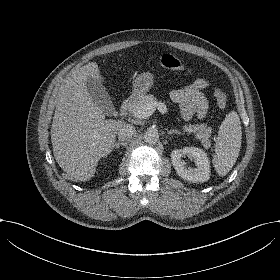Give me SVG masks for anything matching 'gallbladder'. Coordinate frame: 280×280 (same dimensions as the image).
<instances>
[{
    "instance_id": "obj_1",
    "label": "gallbladder",
    "mask_w": 280,
    "mask_h": 280,
    "mask_svg": "<svg viewBox=\"0 0 280 280\" xmlns=\"http://www.w3.org/2000/svg\"><path fill=\"white\" fill-rule=\"evenodd\" d=\"M86 85L89 98L95 102L107 116L117 117L118 112L101 81L98 78L88 77Z\"/></svg>"
}]
</instances>
